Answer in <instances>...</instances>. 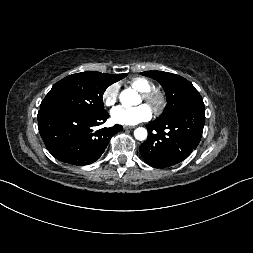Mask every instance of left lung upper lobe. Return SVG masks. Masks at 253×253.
Wrapping results in <instances>:
<instances>
[{
	"mask_svg": "<svg viewBox=\"0 0 253 253\" xmlns=\"http://www.w3.org/2000/svg\"><path fill=\"white\" fill-rule=\"evenodd\" d=\"M141 74L157 80L165 90L167 105L157 120L169 119L193 102L202 99L195 87L179 75L162 71H146Z\"/></svg>",
	"mask_w": 253,
	"mask_h": 253,
	"instance_id": "left-lung-upper-lobe-1",
	"label": "left lung upper lobe"
}]
</instances>
